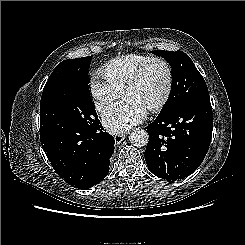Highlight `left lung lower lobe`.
Masks as SVG:
<instances>
[{"label": "left lung lower lobe", "mask_w": 245, "mask_h": 245, "mask_svg": "<svg viewBox=\"0 0 245 245\" xmlns=\"http://www.w3.org/2000/svg\"><path fill=\"white\" fill-rule=\"evenodd\" d=\"M149 134L144 156L150 171L174 181L193 173L208 151L213 129L209 96H198L167 116H157L146 127Z\"/></svg>", "instance_id": "0a47b994"}]
</instances>
